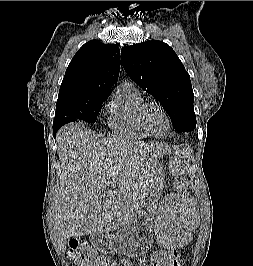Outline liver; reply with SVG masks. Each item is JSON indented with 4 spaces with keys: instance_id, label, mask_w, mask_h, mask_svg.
<instances>
[{
    "instance_id": "obj_1",
    "label": "liver",
    "mask_w": 253,
    "mask_h": 266,
    "mask_svg": "<svg viewBox=\"0 0 253 266\" xmlns=\"http://www.w3.org/2000/svg\"><path fill=\"white\" fill-rule=\"evenodd\" d=\"M62 182L55 203L56 235L109 234L131 222L148 194L158 158L171 153L161 143L99 139L83 124H68L56 136Z\"/></svg>"
}]
</instances>
